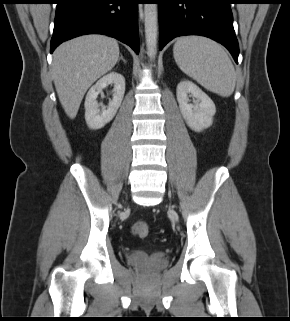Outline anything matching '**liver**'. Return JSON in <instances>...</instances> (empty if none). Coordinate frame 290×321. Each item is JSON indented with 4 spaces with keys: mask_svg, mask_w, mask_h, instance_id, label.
I'll return each instance as SVG.
<instances>
[{
    "mask_svg": "<svg viewBox=\"0 0 290 321\" xmlns=\"http://www.w3.org/2000/svg\"><path fill=\"white\" fill-rule=\"evenodd\" d=\"M111 37L91 34L62 43L53 54L52 78L65 113L74 119L88 88L119 59Z\"/></svg>",
    "mask_w": 290,
    "mask_h": 321,
    "instance_id": "6515ba94",
    "label": "liver"
}]
</instances>
